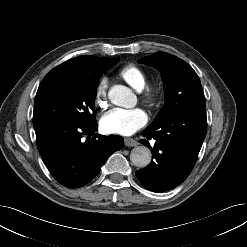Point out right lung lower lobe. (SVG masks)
I'll return each instance as SVG.
<instances>
[{
    "mask_svg": "<svg viewBox=\"0 0 247 247\" xmlns=\"http://www.w3.org/2000/svg\"><path fill=\"white\" fill-rule=\"evenodd\" d=\"M34 129L45 165L55 180L68 188L90 182L108 157L124 146L121 136L98 135L97 122H45Z\"/></svg>",
    "mask_w": 247,
    "mask_h": 247,
    "instance_id": "obj_1",
    "label": "right lung lower lobe"
}]
</instances>
